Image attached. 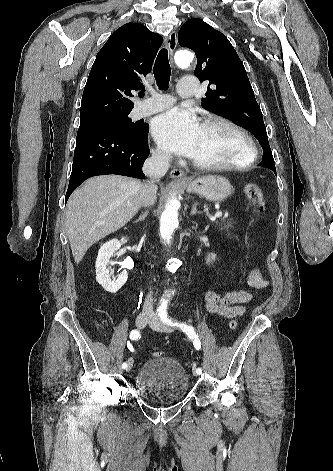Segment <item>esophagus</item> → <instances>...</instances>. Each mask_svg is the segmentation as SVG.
Listing matches in <instances>:
<instances>
[{
  "instance_id": "1",
  "label": "esophagus",
  "mask_w": 333,
  "mask_h": 471,
  "mask_svg": "<svg viewBox=\"0 0 333 471\" xmlns=\"http://www.w3.org/2000/svg\"><path fill=\"white\" fill-rule=\"evenodd\" d=\"M177 46V35L175 31H172L169 35L168 42L166 43V49L168 50L169 55L172 57ZM170 176L178 182H187L188 178L184 171L174 168L170 171Z\"/></svg>"
}]
</instances>
